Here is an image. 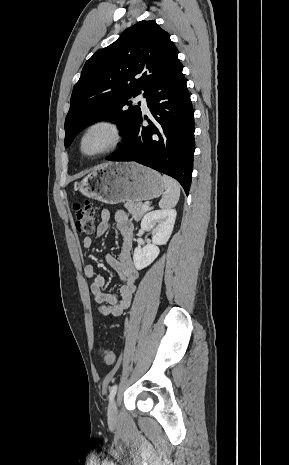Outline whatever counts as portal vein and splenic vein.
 I'll return each mask as SVG.
<instances>
[{
    "label": "portal vein and splenic vein",
    "instance_id": "obj_1",
    "mask_svg": "<svg viewBox=\"0 0 289 465\" xmlns=\"http://www.w3.org/2000/svg\"><path fill=\"white\" fill-rule=\"evenodd\" d=\"M148 208H149L148 204H143V209H148Z\"/></svg>",
    "mask_w": 289,
    "mask_h": 465
}]
</instances>
